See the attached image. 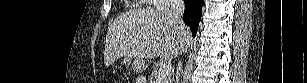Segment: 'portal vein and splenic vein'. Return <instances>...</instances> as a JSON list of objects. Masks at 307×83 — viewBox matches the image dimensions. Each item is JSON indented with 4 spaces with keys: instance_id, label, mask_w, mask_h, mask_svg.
<instances>
[{
    "instance_id": "1",
    "label": "portal vein and splenic vein",
    "mask_w": 307,
    "mask_h": 83,
    "mask_svg": "<svg viewBox=\"0 0 307 83\" xmlns=\"http://www.w3.org/2000/svg\"><path fill=\"white\" fill-rule=\"evenodd\" d=\"M171 72V66L169 64H162L158 71L157 81H160L162 78L168 76Z\"/></svg>"
}]
</instances>
